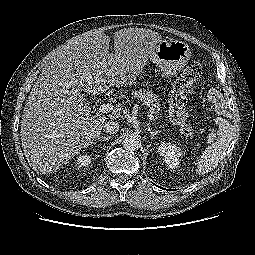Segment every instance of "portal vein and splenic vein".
<instances>
[{
    "label": "portal vein and splenic vein",
    "mask_w": 255,
    "mask_h": 255,
    "mask_svg": "<svg viewBox=\"0 0 255 255\" xmlns=\"http://www.w3.org/2000/svg\"><path fill=\"white\" fill-rule=\"evenodd\" d=\"M99 111L101 113H111L114 111V106L111 104V103H106V104H102L100 107H99ZM153 111L150 110V113L148 114V118L150 120H154V116H153Z\"/></svg>",
    "instance_id": "1"
}]
</instances>
